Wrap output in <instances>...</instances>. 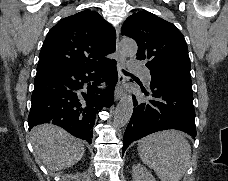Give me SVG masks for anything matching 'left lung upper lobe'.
<instances>
[{
    "label": "left lung upper lobe",
    "instance_id": "5c2ea615",
    "mask_svg": "<svg viewBox=\"0 0 228 181\" xmlns=\"http://www.w3.org/2000/svg\"><path fill=\"white\" fill-rule=\"evenodd\" d=\"M121 34L137 42V59L145 60L149 70H160L191 83L187 44L174 24L143 10L126 19Z\"/></svg>",
    "mask_w": 228,
    "mask_h": 181
}]
</instances>
